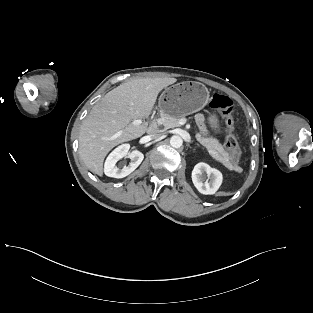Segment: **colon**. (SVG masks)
<instances>
[{"instance_id": "obj_1", "label": "colon", "mask_w": 313, "mask_h": 313, "mask_svg": "<svg viewBox=\"0 0 313 313\" xmlns=\"http://www.w3.org/2000/svg\"><path fill=\"white\" fill-rule=\"evenodd\" d=\"M210 107L221 112L225 117L226 139L225 145L230 153L231 161L237 164L241 158V149L234 134V109L235 104L231 98L222 94H214L210 101Z\"/></svg>"}]
</instances>
